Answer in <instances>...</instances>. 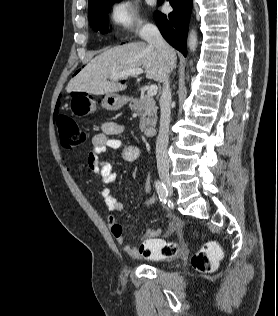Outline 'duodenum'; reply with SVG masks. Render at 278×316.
Masks as SVG:
<instances>
[{"label": "duodenum", "mask_w": 278, "mask_h": 316, "mask_svg": "<svg viewBox=\"0 0 278 316\" xmlns=\"http://www.w3.org/2000/svg\"><path fill=\"white\" fill-rule=\"evenodd\" d=\"M144 133H145V135H147V136H152V135L155 134V128L152 127V126L146 127V128L144 129Z\"/></svg>", "instance_id": "410a0bca"}]
</instances>
